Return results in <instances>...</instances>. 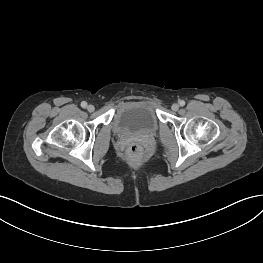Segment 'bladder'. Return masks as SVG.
<instances>
[{
    "label": "bladder",
    "mask_w": 263,
    "mask_h": 263,
    "mask_svg": "<svg viewBox=\"0 0 263 263\" xmlns=\"http://www.w3.org/2000/svg\"><path fill=\"white\" fill-rule=\"evenodd\" d=\"M160 125L156 105L151 101L122 104L116 111L112 127L119 135H151Z\"/></svg>",
    "instance_id": "1"
}]
</instances>
